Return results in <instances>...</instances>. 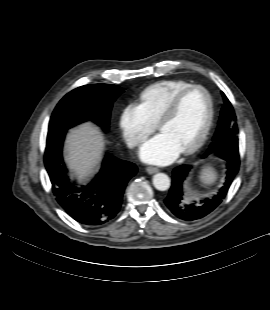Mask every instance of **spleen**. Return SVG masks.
<instances>
[{"instance_id": "3e777b00", "label": "spleen", "mask_w": 270, "mask_h": 310, "mask_svg": "<svg viewBox=\"0 0 270 310\" xmlns=\"http://www.w3.org/2000/svg\"><path fill=\"white\" fill-rule=\"evenodd\" d=\"M218 178L217 172L211 165H206L200 172V180L204 185H212Z\"/></svg>"}]
</instances>
